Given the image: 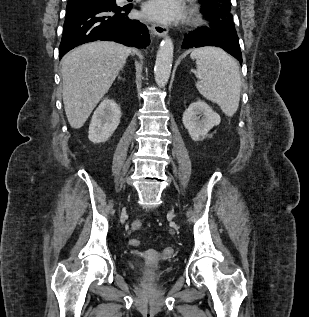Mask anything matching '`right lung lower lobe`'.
<instances>
[{"label":"right lung lower lobe","instance_id":"right-lung-lower-lobe-1","mask_svg":"<svg viewBox=\"0 0 309 317\" xmlns=\"http://www.w3.org/2000/svg\"><path fill=\"white\" fill-rule=\"evenodd\" d=\"M131 8V5L120 7L90 0H68L60 59L74 47L96 40L146 47L150 42L148 29L140 21L128 18Z\"/></svg>","mask_w":309,"mask_h":317}]
</instances>
